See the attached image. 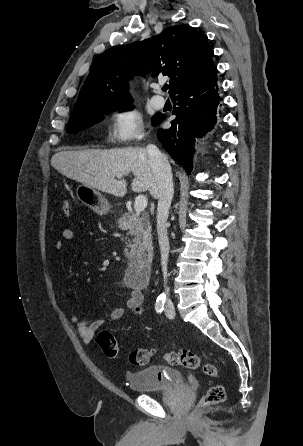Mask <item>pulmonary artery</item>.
<instances>
[{
	"label": "pulmonary artery",
	"mask_w": 303,
	"mask_h": 446,
	"mask_svg": "<svg viewBox=\"0 0 303 446\" xmlns=\"http://www.w3.org/2000/svg\"><path fill=\"white\" fill-rule=\"evenodd\" d=\"M151 104L153 105L154 108L161 109L165 105V100L160 95H154L151 98Z\"/></svg>",
	"instance_id": "e3ab8cb5"
}]
</instances>
